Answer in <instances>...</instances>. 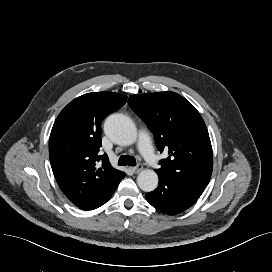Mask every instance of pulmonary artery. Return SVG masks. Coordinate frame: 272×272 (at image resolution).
<instances>
[{"mask_svg": "<svg viewBox=\"0 0 272 272\" xmlns=\"http://www.w3.org/2000/svg\"><path fill=\"white\" fill-rule=\"evenodd\" d=\"M139 148L145 160L153 167H157L158 158L155 154L150 138L144 130H141L139 134Z\"/></svg>", "mask_w": 272, "mask_h": 272, "instance_id": "e3ab8cb5", "label": "pulmonary artery"}]
</instances>
